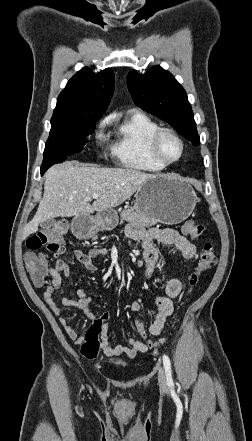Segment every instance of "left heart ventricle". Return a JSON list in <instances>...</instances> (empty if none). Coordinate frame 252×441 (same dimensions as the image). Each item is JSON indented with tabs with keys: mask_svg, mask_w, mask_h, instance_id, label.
Returning <instances> with one entry per match:
<instances>
[{
	"mask_svg": "<svg viewBox=\"0 0 252 441\" xmlns=\"http://www.w3.org/2000/svg\"><path fill=\"white\" fill-rule=\"evenodd\" d=\"M159 150L164 159L173 160L180 154V145L175 139L165 136L160 141Z\"/></svg>",
	"mask_w": 252,
	"mask_h": 441,
	"instance_id": "left-heart-ventricle-1",
	"label": "left heart ventricle"
}]
</instances>
